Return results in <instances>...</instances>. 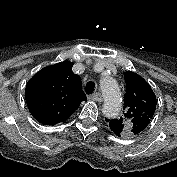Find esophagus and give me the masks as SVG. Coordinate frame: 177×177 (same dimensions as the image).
I'll list each match as a JSON object with an SVG mask.
<instances>
[{"mask_svg": "<svg viewBox=\"0 0 177 177\" xmlns=\"http://www.w3.org/2000/svg\"><path fill=\"white\" fill-rule=\"evenodd\" d=\"M91 99L93 101H96V102H102L103 101V98H102V95L97 92V93H94L92 96H91Z\"/></svg>", "mask_w": 177, "mask_h": 177, "instance_id": "1", "label": "esophagus"}]
</instances>
